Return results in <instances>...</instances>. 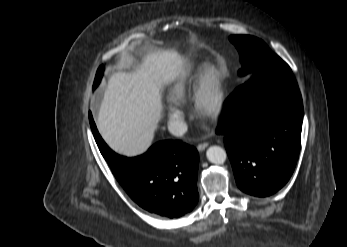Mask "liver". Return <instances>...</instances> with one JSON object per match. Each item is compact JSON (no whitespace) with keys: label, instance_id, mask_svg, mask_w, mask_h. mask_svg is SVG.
<instances>
[{"label":"liver","instance_id":"liver-1","mask_svg":"<svg viewBox=\"0 0 347 247\" xmlns=\"http://www.w3.org/2000/svg\"><path fill=\"white\" fill-rule=\"evenodd\" d=\"M185 74L184 59L172 49L151 52L131 71L112 74L96 121L108 146L126 157L144 154L161 119L164 86Z\"/></svg>","mask_w":347,"mask_h":247}]
</instances>
